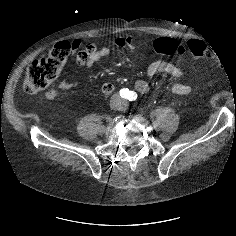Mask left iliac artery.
Returning a JSON list of instances; mask_svg holds the SVG:
<instances>
[{
	"label": "left iliac artery",
	"mask_w": 236,
	"mask_h": 236,
	"mask_svg": "<svg viewBox=\"0 0 236 236\" xmlns=\"http://www.w3.org/2000/svg\"><path fill=\"white\" fill-rule=\"evenodd\" d=\"M129 101H134L137 99V93L134 91H130L129 96H128Z\"/></svg>",
	"instance_id": "obj_1"
}]
</instances>
